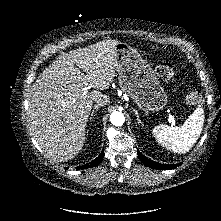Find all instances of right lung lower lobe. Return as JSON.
Listing matches in <instances>:
<instances>
[{
    "mask_svg": "<svg viewBox=\"0 0 221 221\" xmlns=\"http://www.w3.org/2000/svg\"><path fill=\"white\" fill-rule=\"evenodd\" d=\"M103 156H104V151H102L100 153V155L95 160H93L92 162H90V163H88V164H86L84 166H79L78 168H80V169H87V168L94 167V166H96V165H98L100 163V161L102 160Z\"/></svg>",
    "mask_w": 221,
    "mask_h": 221,
    "instance_id": "right-lung-lower-lobe-1",
    "label": "right lung lower lobe"
}]
</instances>
